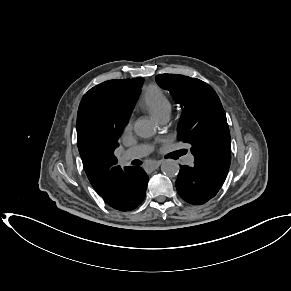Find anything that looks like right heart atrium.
<instances>
[{"instance_id": "right-heart-atrium-1", "label": "right heart atrium", "mask_w": 291, "mask_h": 291, "mask_svg": "<svg viewBox=\"0 0 291 291\" xmlns=\"http://www.w3.org/2000/svg\"><path fill=\"white\" fill-rule=\"evenodd\" d=\"M131 129H132V120L129 119L124 127V131L129 132V131H131Z\"/></svg>"}]
</instances>
